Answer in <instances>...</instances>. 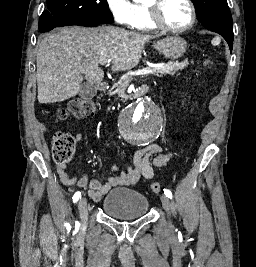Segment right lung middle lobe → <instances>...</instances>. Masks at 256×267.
Returning <instances> with one entry per match:
<instances>
[{
  "mask_svg": "<svg viewBox=\"0 0 256 267\" xmlns=\"http://www.w3.org/2000/svg\"><path fill=\"white\" fill-rule=\"evenodd\" d=\"M75 22L112 23L113 16L106 0H47L39 30L47 32Z\"/></svg>",
  "mask_w": 256,
  "mask_h": 267,
  "instance_id": "obj_1",
  "label": "right lung middle lobe"
}]
</instances>
